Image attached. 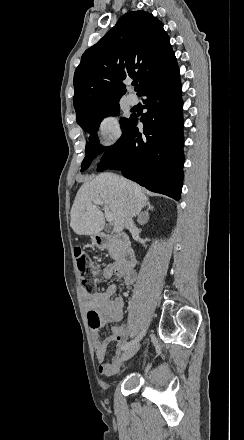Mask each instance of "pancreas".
Instances as JSON below:
<instances>
[{"label": "pancreas", "instance_id": "obj_1", "mask_svg": "<svg viewBox=\"0 0 244 440\" xmlns=\"http://www.w3.org/2000/svg\"><path fill=\"white\" fill-rule=\"evenodd\" d=\"M109 254L113 260H119V246L116 242H112L111 246H107Z\"/></svg>", "mask_w": 244, "mask_h": 440}]
</instances>
